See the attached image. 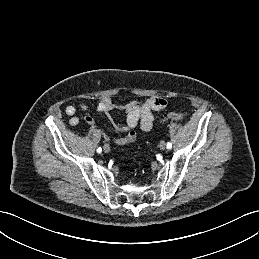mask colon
<instances>
[{"label": "colon", "mask_w": 259, "mask_h": 259, "mask_svg": "<svg viewBox=\"0 0 259 259\" xmlns=\"http://www.w3.org/2000/svg\"><path fill=\"white\" fill-rule=\"evenodd\" d=\"M185 119V114L177 111H170L166 113L163 117V122H180Z\"/></svg>", "instance_id": "colon-1"}]
</instances>
